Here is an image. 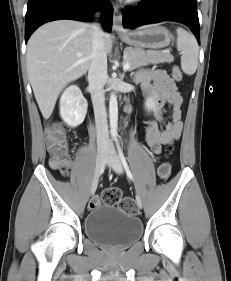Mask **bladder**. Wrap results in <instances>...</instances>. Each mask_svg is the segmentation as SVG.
Listing matches in <instances>:
<instances>
[{
	"mask_svg": "<svg viewBox=\"0 0 231 281\" xmlns=\"http://www.w3.org/2000/svg\"><path fill=\"white\" fill-rule=\"evenodd\" d=\"M84 232L98 244L123 249L141 237L143 226L135 216L111 205H99L86 215Z\"/></svg>",
	"mask_w": 231,
	"mask_h": 281,
	"instance_id": "1",
	"label": "bladder"
}]
</instances>
